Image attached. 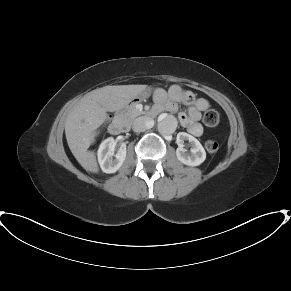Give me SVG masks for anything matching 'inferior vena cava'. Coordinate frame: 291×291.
Returning <instances> with one entry per match:
<instances>
[{"label": "inferior vena cava", "mask_w": 291, "mask_h": 291, "mask_svg": "<svg viewBox=\"0 0 291 291\" xmlns=\"http://www.w3.org/2000/svg\"><path fill=\"white\" fill-rule=\"evenodd\" d=\"M153 126V120L147 116H141L134 120L132 124L133 131L143 132Z\"/></svg>", "instance_id": "obj_1"}]
</instances>
